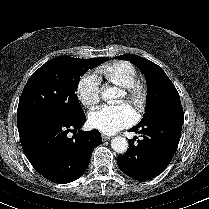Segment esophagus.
I'll use <instances>...</instances> for the list:
<instances>
[{"label":"esophagus","instance_id":"esophagus-1","mask_svg":"<svg viewBox=\"0 0 209 209\" xmlns=\"http://www.w3.org/2000/svg\"><path fill=\"white\" fill-rule=\"evenodd\" d=\"M101 138H102L103 141H108V140L111 139L110 136H107V135H104V134L101 135Z\"/></svg>","mask_w":209,"mask_h":209}]
</instances>
